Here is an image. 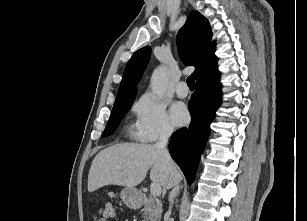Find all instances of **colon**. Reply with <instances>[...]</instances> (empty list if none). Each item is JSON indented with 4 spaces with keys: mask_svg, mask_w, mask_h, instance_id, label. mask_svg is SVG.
<instances>
[{
    "mask_svg": "<svg viewBox=\"0 0 307 221\" xmlns=\"http://www.w3.org/2000/svg\"><path fill=\"white\" fill-rule=\"evenodd\" d=\"M115 205L112 201L104 202L101 209V219L100 221H108L115 218Z\"/></svg>",
    "mask_w": 307,
    "mask_h": 221,
    "instance_id": "1",
    "label": "colon"
}]
</instances>
